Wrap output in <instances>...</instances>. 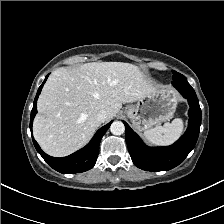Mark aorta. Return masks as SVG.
<instances>
[{
    "mask_svg": "<svg viewBox=\"0 0 224 224\" xmlns=\"http://www.w3.org/2000/svg\"><path fill=\"white\" fill-rule=\"evenodd\" d=\"M110 131L114 135H121L125 131V126L121 121H114L110 126Z\"/></svg>",
    "mask_w": 224,
    "mask_h": 224,
    "instance_id": "1",
    "label": "aorta"
}]
</instances>
